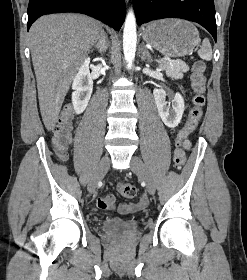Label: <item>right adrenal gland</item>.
I'll use <instances>...</instances> for the list:
<instances>
[{
	"mask_svg": "<svg viewBox=\"0 0 247 280\" xmlns=\"http://www.w3.org/2000/svg\"><path fill=\"white\" fill-rule=\"evenodd\" d=\"M100 54H103L107 48V43L105 41V33H102V37L99 39V42L94 46Z\"/></svg>",
	"mask_w": 247,
	"mask_h": 280,
	"instance_id": "obj_1",
	"label": "right adrenal gland"
}]
</instances>
